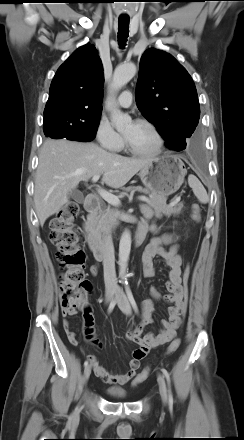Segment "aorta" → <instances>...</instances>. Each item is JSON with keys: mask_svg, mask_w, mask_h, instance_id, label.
Returning a JSON list of instances; mask_svg holds the SVG:
<instances>
[{"mask_svg": "<svg viewBox=\"0 0 244 440\" xmlns=\"http://www.w3.org/2000/svg\"><path fill=\"white\" fill-rule=\"evenodd\" d=\"M135 73L136 66L134 64L119 65L113 74L111 83L112 92L114 93L125 86L134 77ZM107 106L110 110L111 122L117 131H122L131 122L130 116L121 112V110L117 107L114 97H111L107 101ZM130 250L131 233L129 230H125L122 233L119 243V268L120 274L123 277L128 266Z\"/></svg>", "mask_w": 244, "mask_h": 440, "instance_id": "obj_1", "label": "aorta"}]
</instances>
